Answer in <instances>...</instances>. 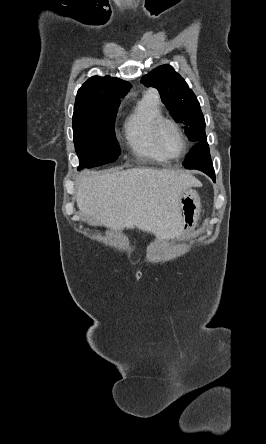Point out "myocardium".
<instances>
[{
	"mask_svg": "<svg viewBox=\"0 0 266 444\" xmlns=\"http://www.w3.org/2000/svg\"><path fill=\"white\" fill-rule=\"evenodd\" d=\"M166 124L172 125L176 129V131L178 132L180 139H181V150H180L179 154L177 155V157L182 156L187 149V139H186V136H185L182 128L180 127V125L175 120H173L171 118L162 117L155 123L154 129H153L154 143H155L157 149L160 151V153H162L165 157L170 156L165 152V150L163 149V147L160 143L161 129Z\"/></svg>",
	"mask_w": 266,
	"mask_h": 444,
	"instance_id": "f54148a6",
	"label": "myocardium"
}]
</instances>
